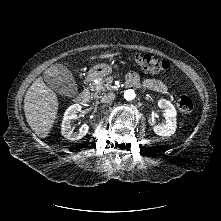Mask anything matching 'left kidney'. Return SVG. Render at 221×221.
<instances>
[{
  "instance_id": "obj_1",
  "label": "left kidney",
  "mask_w": 221,
  "mask_h": 221,
  "mask_svg": "<svg viewBox=\"0 0 221 221\" xmlns=\"http://www.w3.org/2000/svg\"><path fill=\"white\" fill-rule=\"evenodd\" d=\"M158 105L164 109L165 123L155 125L154 131L160 136H171L176 128V110L170 102L164 99L159 100ZM153 123H155L154 119Z\"/></svg>"
}]
</instances>
